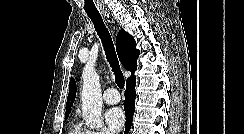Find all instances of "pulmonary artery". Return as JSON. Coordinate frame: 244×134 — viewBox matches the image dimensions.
Segmentation results:
<instances>
[{
  "mask_svg": "<svg viewBox=\"0 0 244 134\" xmlns=\"http://www.w3.org/2000/svg\"><path fill=\"white\" fill-rule=\"evenodd\" d=\"M103 100L107 104H117L120 101V95L115 88H108L103 93Z\"/></svg>",
  "mask_w": 244,
  "mask_h": 134,
  "instance_id": "1",
  "label": "pulmonary artery"
}]
</instances>
